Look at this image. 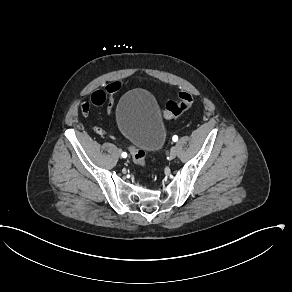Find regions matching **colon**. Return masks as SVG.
<instances>
[{"label": "colon", "mask_w": 292, "mask_h": 292, "mask_svg": "<svg viewBox=\"0 0 292 292\" xmlns=\"http://www.w3.org/2000/svg\"><path fill=\"white\" fill-rule=\"evenodd\" d=\"M106 100V94L104 91L100 90L96 92L92 97V104L95 106L102 105ZM194 100L193 97L188 93H181L178 100H169L166 102L164 108L161 110V116L164 119H172L178 116H181L183 113L188 111L193 106ZM91 108L89 102H85L82 105V112L86 114ZM98 132H101L100 127H96ZM129 153L132 162L139 166L145 167V152L141 148L135 145L129 147Z\"/></svg>", "instance_id": "1"}]
</instances>
